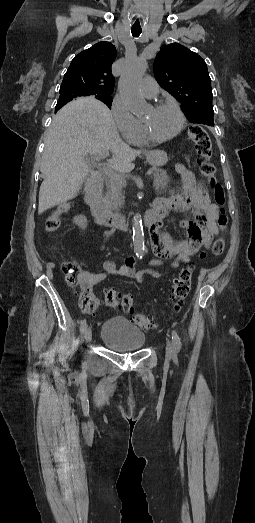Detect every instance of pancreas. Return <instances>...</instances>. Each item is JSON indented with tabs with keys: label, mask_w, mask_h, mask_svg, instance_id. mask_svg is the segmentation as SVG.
Returning <instances> with one entry per match:
<instances>
[{
	"label": "pancreas",
	"mask_w": 255,
	"mask_h": 523,
	"mask_svg": "<svg viewBox=\"0 0 255 523\" xmlns=\"http://www.w3.org/2000/svg\"><path fill=\"white\" fill-rule=\"evenodd\" d=\"M154 188L157 194L167 192L169 184V176L164 170H153ZM105 184L107 188L106 200H109L112 210H119L124 204L123 188L125 184V176L122 174H114L113 176H106ZM173 194V190H170Z\"/></svg>",
	"instance_id": "obj_1"
}]
</instances>
